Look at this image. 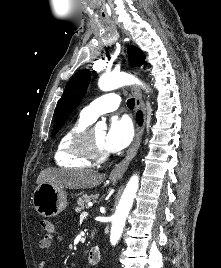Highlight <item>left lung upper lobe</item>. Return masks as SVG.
Segmentation results:
<instances>
[{
  "instance_id": "5c2ea615",
  "label": "left lung upper lobe",
  "mask_w": 221,
  "mask_h": 268,
  "mask_svg": "<svg viewBox=\"0 0 221 268\" xmlns=\"http://www.w3.org/2000/svg\"><path fill=\"white\" fill-rule=\"evenodd\" d=\"M128 57L132 66H141L145 60L144 53L134 46L128 47ZM90 78L91 72L88 69H83L76 73L67 83L56 108V118L51 137L57 134L68 116L80 103L87 90Z\"/></svg>"
}]
</instances>
